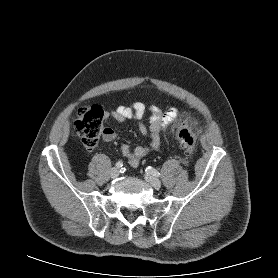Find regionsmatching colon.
I'll return each instance as SVG.
<instances>
[{"label": "colon", "instance_id": "1", "mask_svg": "<svg viewBox=\"0 0 278 278\" xmlns=\"http://www.w3.org/2000/svg\"><path fill=\"white\" fill-rule=\"evenodd\" d=\"M104 119V111L97 105L80 109L74 126L86 148L93 149L97 145L101 134L104 132ZM173 134L180 142L184 153L191 155L196 145L195 135L191 126L187 123H182L173 128Z\"/></svg>", "mask_w": 278, "mask_h": 278}]
</instances>
